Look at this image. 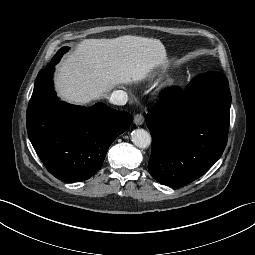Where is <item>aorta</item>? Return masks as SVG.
I'll return each mask as SVG.
<instances>
[{
	"instance_id": "762f6f07",
	"label": "aorta",
	"mask_w": 255,
	"mask_h": 255,
	"mask_svg": "<svg viewBox=\"0 0 255 255\" xmlns=\"http://www.w3.org/2000/svg\"><path fill=\"white\" fill-rule=\"evenodd\" d=\"M131 141L138 148L145 149L151 144V136L144 129H135L131 133Z\"/></svg>"
}]
</instances>
